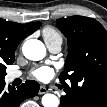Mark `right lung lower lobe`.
Returning <instances> with one entry per match:
<instances>
[{"label":"right lung lower lobe","mask_w":107,"mask_h":107,"mask_svg":"<svg viewBox=\"0 0 107 107\" xmlns=\"http://www.w3.org/2000/svg\"><path fill=\"white\" fill-rule=\"evenodd\" d=\"M39 88L36 81L28 80L17 89H6L4 80H0V107H19L24 99L36 96Z\"/></svg>","instance_id":"1"}]
</instances>
